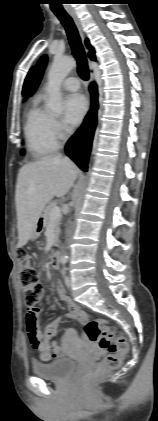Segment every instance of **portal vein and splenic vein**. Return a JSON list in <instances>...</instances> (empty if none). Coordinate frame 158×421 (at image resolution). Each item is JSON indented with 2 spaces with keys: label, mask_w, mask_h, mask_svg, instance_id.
<instances>
[{
  "label": "portal vein and splenic vein",
  "mask_w": 158,
  "mask_h": 421,
  "mask_svg": "<svg viewBox=\"0 0 158 421\" xmlns=\"http://www.w3.org/2000/svg\"><path fill=\"white\" fill-rule=\"evenodd\" d=\"M60 216H61L60 208L58 206H54L50 214L51 219H57Z\"/></svg>",
  "instance_id": "18ae733b"
}]
</instances>
